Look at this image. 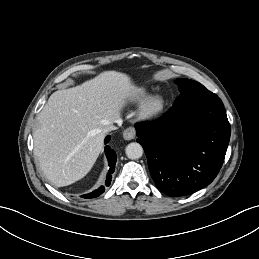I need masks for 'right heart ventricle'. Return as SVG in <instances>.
I'll use <instances>...</instances> for the list:
<instances>
[{"mask_svg": "<svg viewBox=\"0 0 259 259\" xmlns=\"http://www.w3.org/2000/svg\"><path fill=\"white\" fill-rule=\"evenodd\" d=\"M147 94V92L145 90H141L138 92L137 94V98H142Z\"/></svg>", "mask_w": 259, "mask_h": 259, "instance_id": "right-heart-ventricle-1", "label": "right heart ventricle"}]
</instances>
